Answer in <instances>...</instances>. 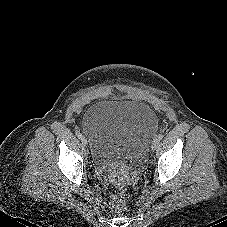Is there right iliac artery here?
Masks as SVG:
<instances>
[{
  "instance_id": "obj_1",
  "label": "right iliac artery",
  "mask_w": 227,
  "mask_h": 227,
  "mask_svg": "<svg viewBox=\"0 0 227 227\" xmlns=\"http://www.w3.org/2000/svg\"><path fill=\"white\" fill-rule=\"evenodd\" d=\"M77 137H78L79 139H82L83 136H82L81 133H78V134H77Z\"/></svg>"
}]
</instances>
